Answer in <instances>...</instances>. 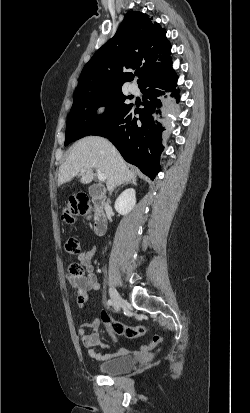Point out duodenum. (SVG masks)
I'll use <instances>...</instances> for the list:
<instances>
[{"label":"duodenum","mask_w":250,"mask_h":413,"mask_svg":"<svg viewBox=\"0 0 250 413\" xmlns=\"http://www.w3.org/2000/svg\"><path fill=\"white\" fill-rule=\"evenodd\" d=\"M92 200L95 206L93 231L97 236H101L106 232L108 224L107 216L104 212L105 198L102 193H94L92 194Z\"/></svg>","instance_id":"obj_1"}]
</instances>
